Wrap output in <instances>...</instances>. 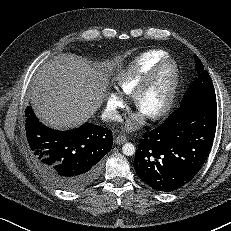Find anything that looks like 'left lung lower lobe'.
Listing matches in <instances>:
<instances>
[{
  "instance_id": "left-lung-lower-lobe-1",
  "label": "left lung lower lobe",
  "mask_w": 231,
  "mask_h": 231,
  "mask_svg": "<svg viewBox=\"0 0 231 231\" xmlns=\"http://www.w3.org/2000/svg\"><path fill=\"white\" fill-rule=\"evenodd\" d=\"M217 125L216 98L182 104L141 140L134 168L158 191H174L201 169L213 144Z\"/></svg>"
}]
</instances>
